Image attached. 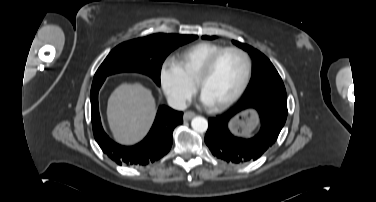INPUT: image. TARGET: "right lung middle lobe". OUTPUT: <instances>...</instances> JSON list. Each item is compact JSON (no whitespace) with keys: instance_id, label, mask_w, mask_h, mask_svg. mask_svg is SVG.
<instances>
[{"instance_id":"dd1d6c3e","label":"right lung middle lobe","mask_w":376,"mask_h":202,"mask_svg":"<svg viewBox=\"0 0 376 202\" xmlns=\"http://www.w3.org/2000/svg\"><path fill=\"white\" fill-rule=\"evenodd\" d=\"M196 38L197 35L158 33L124 42L110 52L95 73L93 83L118 72H140L160 85L165 58L177 47Z\"/></svg>"}]
</instances>
